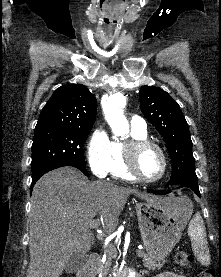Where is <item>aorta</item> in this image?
<instances>
[{
    "mask_svg": "<svg viewBox=\"0 0 221 277\" xmlns=\"http://www.w3.org/2000/svg\"><path fill=\"white\" fill-rule=\"evenodd\" d=\"M126 105V99L121 93L112 95L103 110L105 118L110 125L112 132L117 136H125L129 132V124L126 117L123 115L122 108ZM128 277H136L134 271H130Z\"/></svg>",
    "mask_w": 221,
    "mask_h": 277,
    "instance_id": "aorta-1",
    "label": "aorta"
}]
</instances>
